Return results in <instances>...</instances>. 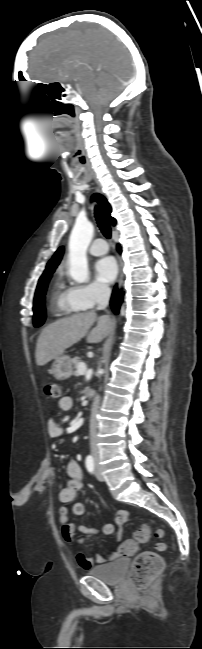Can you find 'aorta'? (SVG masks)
<instances>
[{"instance_id":"aorta-1","label":"aorta","mask_w":202,"mask_h":649,"mask_svg":"<svg viewBox=\"0 0 202 649\" xmlns=\"http://www.w3.org/2000/svg\"><path fill=\"white\" fill-rule=\"evenodd\" d=\"M94 226L87 220H78L69 239V274L76 282L89 279L87 249L92 241Z\"/></svg>"}]
</instances>
